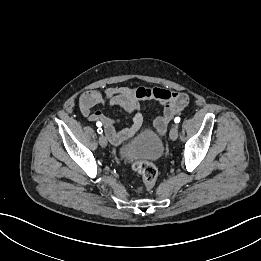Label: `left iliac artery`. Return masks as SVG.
Wrapping results in <instances>:
<instances>
[{
    "label": "left iliac artery",
    "instance_id": "left-iliac-artery-1",
    "mask_svg": "<svg viewBox=\"0 0 261 261\" xmlns=\"http://www.w3.org/2000/svg\"><path fill=\"white\" fill-rule=\"evenodd\" d=\"M174 122H175V123H179V122H180V117H176V118L174 119Z\"/></svg>",
    "mask_w": 261,
    "mask_h": 261
}]
</instances>
